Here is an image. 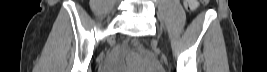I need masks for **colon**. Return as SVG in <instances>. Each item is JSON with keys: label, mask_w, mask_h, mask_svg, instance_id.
Masks as SVG:
<instances>
[{"label": "colon", "mask_w": 267, "mask_h": 72, "mask_svg": "<svg viewBox=\"0 0 267 72\" xmlns=\"http://www.w3.org/2000/svg\"><path fill=\"white\" fill-rule=\"evenodd\" d=\"M199 2H200L201 4H204V5H205V4H207V3L209 2V0H200Z\"/></svg>", "instance_id": "1"}]
</instances>
